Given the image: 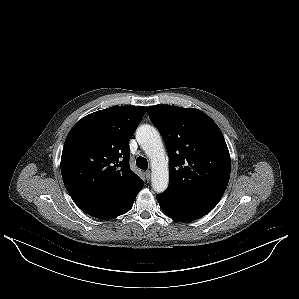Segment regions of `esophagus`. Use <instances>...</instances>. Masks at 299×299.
<instances>
[{
  "mask_svg": "<svg viewBox=\"0 0 299 299\" xmlns=\"http://www.w3.org/2000/svg\"><path fill=\"white\" fill-rule=\"evenodd\" d=\"M144 174H145V178H146V180L149 181L150 178H151V172H150V171H145Z\"/></svg>",
  "mask_w": 299,
  "mask_h": 299,
  "instance_id": "1",
  "label": "esophagus"
}]
</instances>
